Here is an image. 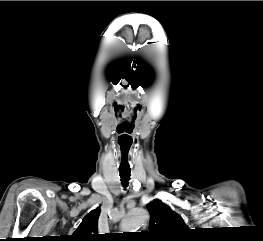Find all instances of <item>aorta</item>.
<instances>
[{
    "mask_svg": "<svg viewBox=\"0 0 263 241\" xmlns=\"http://www.w3.org/2000/svg\"><path fill=\"white\" fill-rule=\"evenodd\" d=\"M148 212L142 208H133L122 221V227L125 230H136L144 225L148 220Z\"/></svg>",
    "mask_w": 263,
    "mask_h": 241,
    "instance_id": "1",
    "label": "aorta"
}]
</instances>
